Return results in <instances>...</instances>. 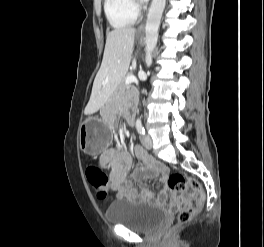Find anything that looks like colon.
Here are the masks:
<instances>
[{
  "label": "colon",
  "mask_w": 264,
  "mask_h": 247,
  "mask_svg": "<svg viewBox=\"0 0 264 247\" xmlns=\"http://www.w3.org/2000/svg\"><path fill=\"white\" fill-rule=\"evenodd\" d=\"M85 173L96 196L101 199L105 198L108 194L107 174L95 165H88ZM167 182L169 188L181 196H184L188 191L192 192L190 197L179 198L175 201L180 206L177 223L183 225L190 222L206 201V195L200 183L196 179L178 172L171 174Z\"/></svg>",
  "instance_id": "obj_1"
}]
</instances>
